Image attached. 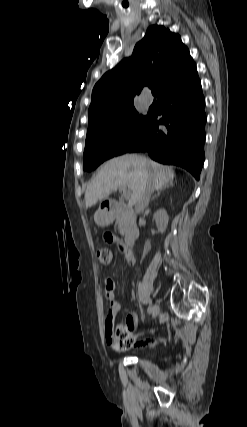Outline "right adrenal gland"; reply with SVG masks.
Listing matches in <instances>:
<instances>
[{
	"instance_id": "obj_1",
	"label": "right adrenal gland",
	"mask_w": 247,
	"mask_h": 427,
	"mask_svg": "<svg viewBox=\"0 0 247 427\" xmlns=\"http://www.w3.org/2000/svg\"><path fill=\"white\" fill-rule=\"evenodd\" d=\"M172 184H167V185H165L163 188H161L160 190H158V192H157V194L156 195H154L153 197H152V200H154L157 196H159L160 195V192L163 190V189H165V188H168L169 186H171Z\"/></svg>"
}]
</instances>
